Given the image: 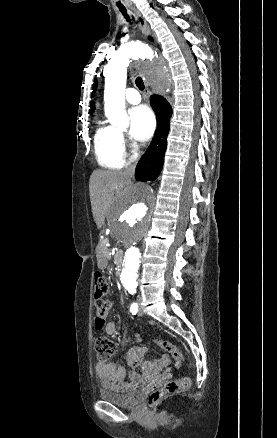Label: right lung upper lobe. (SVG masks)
Masks as SVG:
<instances>
[{"instance_id": "1", "label": "right lung upper lobe", "mask_w": 277, "mask_h": 438, "mask_svg": "<svg viewBox=\"0 0 277 438\" xmlns=\"http://www.w3.org/2000/svg\"><path fill=\"white\" fill-rule=\"evenodd\" d=\"M94 111V105L91 104V109H90V113H92Z\"/></svg>"}]
</instances>
